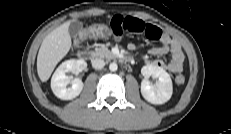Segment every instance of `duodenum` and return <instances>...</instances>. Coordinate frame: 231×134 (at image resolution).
Returning <instances> with one entry per match:
<instances>
[{
    "label": "duodenum",
    "instance_id": "duodenum-1",
    "mask_svg": "<svg viewBox=\"0 0 231 134\" xmlns=\"http://www.w3.org/2000/svg\"><path fill=\"white\" fill-rule=\"evenodd\" d=\"M78 57L82 60H88L91 58V53L88 50H80L78 52ZM121 59L125 62H130L131 58L128 56H123Z\"/></svg>",
    "mask_w": 231,
    "mask_h": 134
}]
</instances>
